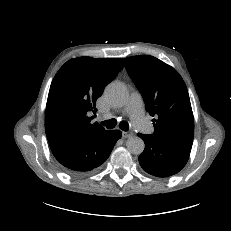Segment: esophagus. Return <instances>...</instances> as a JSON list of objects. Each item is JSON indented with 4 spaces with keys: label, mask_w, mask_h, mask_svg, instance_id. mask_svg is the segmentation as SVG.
<instances>
[{
    "label": "esophagus",
    "mask_w": 231,
    "mask_h": 231,
    "mask_svg": "<svg viewBox=\"0 0 231 231\" xmlns=\"http://www.w3.org/2000/svg\"><path fill=\"white\" fill-rule=\"evenodd\" d=\"M133 135L132 131H122V137L123 138H128Z\"/></svg>",
    "instance_id": "esophagus-1"
}]
</instances>
